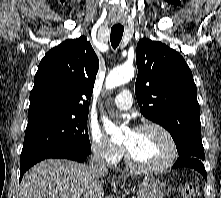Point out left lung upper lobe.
<instances>
[{"instance_id":"left-lung-upper-lobe-1","label":"left lung upper lobe","mask_w":221,"mask_h":198,"mask_svg":"<svg viewBox=\"0 0 221 198\" xmlns=\"http://www.w3.org/2000/svg\"><path fill=\"white\" fill-rule=\"evenodd\" d=\"M136 64L135 94L141 113L170 132L180 158L203 161L197 89L183 57L144 38L137 44Z\"/></svg>"}]
</instances>
